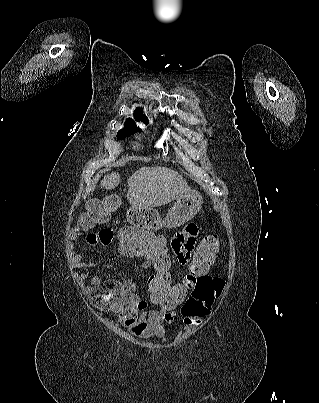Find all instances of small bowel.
Instances as JSON below:
<instances>
[{"label":"small bowel","instance_id":"small-bowel-1","mask_svg":"<svg viewBox=\"0 0 319 403\" xmlns=\"http://www.w3.org/2000/svg\"><path fill=\"white\" fill-rule=\"evenodd\" d=\"M200 229L199 224H186L170 238V252L176 262L185 265L192 260V250ZM83 234V231H77L74 237H81ZM111 238H115V229H111L109 224H102L100 229H89L85 232V248L105 249L106 246H111ZM70 263L74 269L79 270L74 272V277L88 293L91 309H101V315H105L110 329H119L122 324L139 338L162 337L166 332V325L175 320V313H158L157 309L148 308V303L135 293L136 283L132 279H125L124 285H121L120 279H107L95 274L88 283L85 271L93 266L92 262L72 252ZM217 280H220V277H217ZM188 296L195 295L191 291ZM181 307L180 302L178 308Z\"/></svg>","mask_w":319,"mask_h":403}]
</instances>
